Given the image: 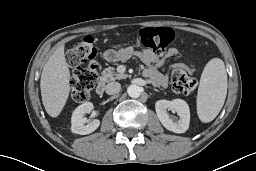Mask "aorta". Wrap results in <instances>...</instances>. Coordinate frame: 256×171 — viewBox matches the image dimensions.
I'll return each instance as SVG.
<instances>
[{
    "instance_id": "1",
    "label": "aorta",
    "mask_w": 256,
    "mask_h": 171,
    "mask_svg": "<svg viewBox=\"0 0 256 171\" xmlns=\"http://www.w3.org/2000/svg\"><path fill=\"white\" fill-rule=\"evenodd\" d=\"M141 92V87L135 84L130 85L127 89V93L131 98H138Z\"/></svg>"
}]
</instances>
